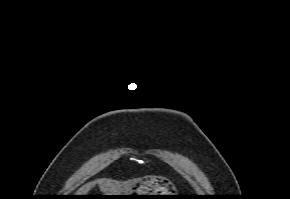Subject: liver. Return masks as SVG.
<instances>
[{"label":"liver","instance_id":"obj_1","mask_svg":"<svg viewBox=\"0 0 290 199\" xmlns=\"http://www.w3.org/2000/svg\"><path fill=\"white\" fill-rule=\"evenodd\" d=\"M95 183L96 182L94 181L83 185L76 192L77 195H86V193H88L95 186ZM97 183L100 190L103 193H106L105 195L120 194L132 186V183H120L112 179H99L97 180Z\"/></svg>","mask_w":290,"mask_h":199}]
</instances>
